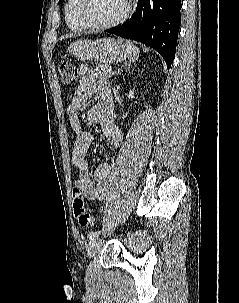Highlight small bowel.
I'll return each instance as SVG.
<instances>
[{
    "mask_svg": "<svg viewBox=\"0 0 239 303\" xmlns=\"http://www.w3.org/2000/svg\"><path fill=\"white\" fill-rule=\"evenodd\" d=\"M93 98H97L98 101L88 113L89 121L101 122L105 138L113 146L119 147L123 135L112 117L113 100L108 82L99 71L82 65L80 84L73 93L68 107L69 122L74 135L71 159L77 169L76 188L90 200H102L110 186L111 167L107 163L99 164L94 171V182L91 180L87 153L92 145L93 136L81 126L78 113L79 109Z\"/></svg>",
    "mask_w": 239,
    "mask_h": 303,
    "instance_id": "1",
    "label": "small bowel"
}]
</instances>
